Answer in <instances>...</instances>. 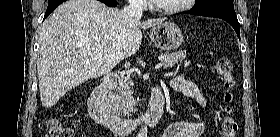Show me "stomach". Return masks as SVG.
<instances>
[{"instance_id": "1", "label": "stomach", "mask_w": 280, "mask_h": 137, "mask_svg": "<svg viewBox=\"0 0 280 137\" xmlns=\"http://www.w3.org/2000/svg\"><path fill=\"white\" fill-rule=\"evenodd\" d=\"M149 36L155 46L163 51L175 50L183 42L182 31L172 22H163L152 27Z\"/></svg>"}]
</instances>
